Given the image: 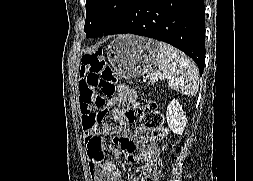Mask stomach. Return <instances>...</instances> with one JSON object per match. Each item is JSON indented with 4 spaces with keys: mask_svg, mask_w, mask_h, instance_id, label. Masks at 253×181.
<instances>
[{
    "mask_svg": "<svg viewBox=\"0 0 253 181\" xmlns=\"http://www.w3.org/2000/svg\"><path fill=\"white\" fill-rule=\"evenodd\" d=\"M106 50L114 72L126 79L153 73L158 65L159 48L154 39L120 35Z\"/></svg>",
    "mask_w": 253,
    "mask_h": 181,
    "instance_id": "stomach-1",
    "label": "stomach"
}]
</instances>
